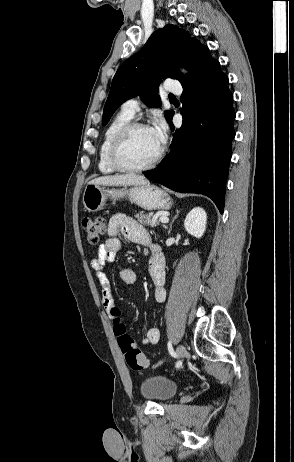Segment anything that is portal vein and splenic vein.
<instances>
[{
	"instance_id": "18ae733b",
	"label": "portal vein and splenic vein",
	"mask_w": 294,
	"mask_h": 462,
	"mask_svg": "<svg viewBox=\"0 0 294 462\" xmlns=\"http://www.w3.org/2000/svg\"><path fill=\"white\" fill-rule=\"evenodd\" d=\"M155 221V219L153 220V222ZM159 221L161 223H168L169 222V219L166 217V216H162L159 218Z\"/></svg>"
}]
</instances>
